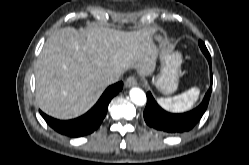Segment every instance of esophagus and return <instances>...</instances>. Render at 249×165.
<instances>
[{"label":"esophagus","instance_id":"esophagus-1","mask_svg":"<svg viewBox=\"0 0 249 165\" xmlns=\"http://www.w3.org/2000/svg\"><path fill=\"white\" fill-rule=\"evenodd\" d=\"M135 85H137V80H136V78L135 77H133V76H130V77H128L127 79H126V81H125V86L126 87H133V86H135Z\"/></svg>","mask_w":249,"mask_h":165}]
</instances>
